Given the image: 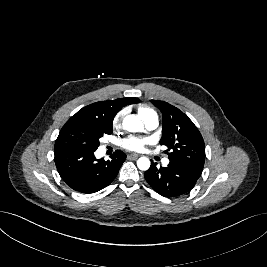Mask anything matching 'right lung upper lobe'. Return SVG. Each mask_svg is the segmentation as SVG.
Here are the masks:
<instances>
[{
    "instance_id": "right-lung-upper-lobe-1",
    "label": "right lung upper lobe",
    "mask_w": 267,
    "mask_h": 267,
    "mask_svg": "<svg viewBox=\"0 0 267 267\" xmlns=\"http://www.w3.org/2000/svg\"><path fill=\"white\" fill-rule=\"evenodd\" d=\"M138 102H139L138 98H132V97L96 102L79 110L69 120H76V121L97 120L112 124L114 116L117 114V112H119L123 107L127 105Z\"/></svg>"
}]
</instances>
